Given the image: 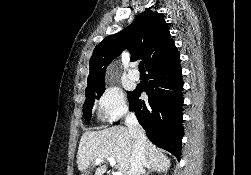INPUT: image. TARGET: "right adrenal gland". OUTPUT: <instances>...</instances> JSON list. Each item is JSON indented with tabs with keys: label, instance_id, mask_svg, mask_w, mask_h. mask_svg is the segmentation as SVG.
Here are the masks:
<instances>
[{
	"label": "right adrenal gland",
	"instance_id": "1",
	"mask_svg": "<svg viewBox=\"0 0 251 175\" xmlns=\"http://www.w3.org/2000/svg\"><path fill=\"white\" fill-rule=\"evenodd\" d=\"M155 171H159V169H154V167H152V169H148L147 173H144V175H149V173H155Z\"/></svg>",
	"mask_w": 251,
	"mask_h": 175
}]
</instances>
